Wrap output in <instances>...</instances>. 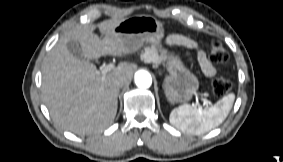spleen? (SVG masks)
<instances>
[{
  "mask_svg": "<svg viewBox=\"0 0 283 162\" xmlns=\"http://www.w3.org/2000/svg\"><path fill=\"white\" fill-rule=\"evenodd\" d=\"M235 95L230 93L220 99L215 105L207 108H193L184 104L171 111L169 120L176 128L189 134L206 133L224 122L227 118Z\"/></svg>",
  "mask_w": 283,
  "mask_h": 162,
  "instance_id": "obj_1",
  "label": "spleen"
}]
</instances>
